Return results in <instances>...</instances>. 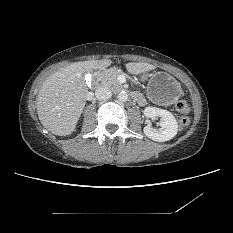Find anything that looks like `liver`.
<instances>
[{"label": "liver", "mask_w": 233, "mask_h": 233, "mask_svg": "<svg viewBox=\"0 0 233 233\" xmlns=\"http://www.w3.org/2000/svg\"><path fill=\"white\" fill-rule=\"evenodd\" d=\"M111 64L110 59L75 62L48 77L37 96V114L41 124L55 135L71 134L86 104L88 87L83 75L93 70H104ZM155 68L145 62L126 64L128 72L135 75Z\"/></svg>", "instance_id": "1"}]
</instances>
